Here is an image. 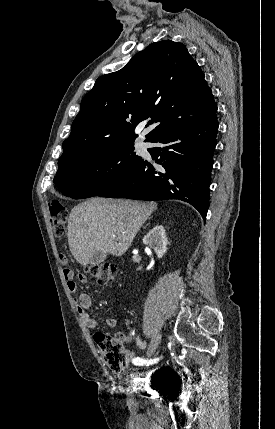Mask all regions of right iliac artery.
<instances>
[{"label": "right iliac artery", "mask_w": 275, "mask_h": 429, "mask_svg": "<svg viewBox=\"0 0 275 429\" xmlns=\"http://www.w3.org/2000/svg\"><path fill=\"white\" fill-rule=\"evenodd\" d=\"M158 360H159L158 358L151 359V360H145V359L140 358V357H135L133 359V364L140 365V366H143V365L149 366V365H152L154 363H157Z\"/></svg>", "instance_id": "obj_1"}]
</instances>
